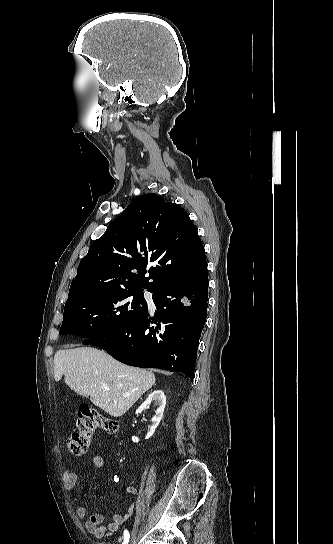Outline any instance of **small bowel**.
Instances as JSON below:
<instances>
[{"instance_id":"1","label":"small bowel","mask_w":333,"mask_h":544,"mask_svg":"<svg viewBox=\"0 0 333 544\" xmlns=\"http://www.w3.org/2000/svg\"><path fill=\"white\" fill-rule=\"evenodd\" d=\"M88 464L95 469L101 468L104 464V459L100 455H93L90 457ZM80 469L69 470L65 469L62 475L63 487L67 491H72L75 489L79 477ZM114 480L117 481L118 477H114ZM127 494L135 496L137 490L134 486L129 485L125 488ZM135 508V504L131 503L125 506L123 513L114 514L109 523L104 522V516L99 513H94L88 515L87 508L84 506H79L76 509V515L80 519L86 518V529L93 534L96 538H103L109 534L116 532L121 525L128 520Z\"/></svg>"}]
</instances>
